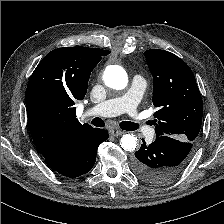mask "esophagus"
I'll list each match as a JSON object with an SVG mask.
<instances>
[{
    "label": "esophagus",
    "mask_w": 224,
    "mask_h": 224,
    "mask_svg": "<svg viewBox=\"0 0 224 224\" xmlns=\"http://www.w3.org/2000/svg\"><path fill=\"white\" fill-rule=\"evenodd\" d=\"M110 133L113 136H120V135L124 134V131L118 130V129H113V130L110 131Z\"/></svg>",
    "instance_id": "34e87169"
}]
</instances>
